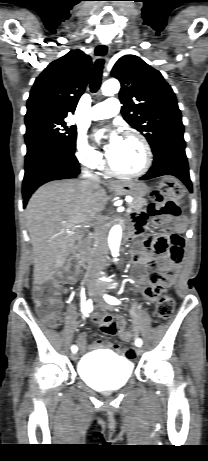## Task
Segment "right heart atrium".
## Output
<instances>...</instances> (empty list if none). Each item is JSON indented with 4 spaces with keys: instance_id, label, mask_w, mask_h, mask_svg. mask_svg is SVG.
<instances>
[{
    "instance_id": "d8ad5b80",
    "label": "right heart atrium",
    "mask_w": 208,
    "mask_h": 461,
    "mask_svg": "<svg viewBox=\"0 0 208 461\" xmlns=\"http://www.w3.org/2000/svg\"><path fill=\"white\" fill-rule=\"evenodd\" d=\"M76 157L80 165L86 169H96L103 161L101 153L92 147L82 135L77 139Z\"/></svg>"
}]
</instances>
